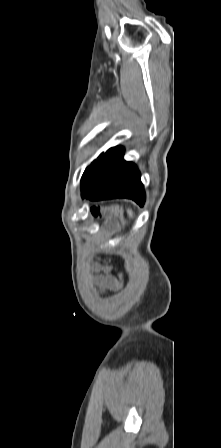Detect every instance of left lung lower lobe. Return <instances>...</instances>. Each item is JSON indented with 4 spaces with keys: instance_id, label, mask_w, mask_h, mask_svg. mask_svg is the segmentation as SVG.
I'll list each match as a JSON object with an SVG mask.
<instances>
[{
    "instance_id": "0a47b994",
    "label": "left lung lower lobe",
    "mask_w": 221,
    "mask_h": 448,
    "mask_svg": "<svg viewBox=\"0 0 221 448\" xmlns=\"http://www.w3.org/2000/svg\"><path fill=\"white\" fill-rule=\"evenodd\" d=\"M123 155L122 147L108 150L85 170L81 179L82 198H128L140 206L144 205L145 192L140 172L132 162H126Z\"/></svg>"
}]
</instances>
